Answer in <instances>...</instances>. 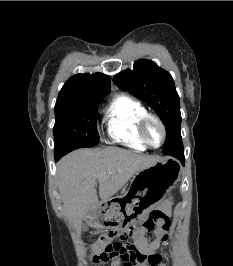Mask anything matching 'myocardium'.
<instances>
[{
    "label": "myocardium",
    "instance_id": "f54148a6",
    "mask_svg": "<svg viewBox=\"0 0 233 266\" xmlns=\"http://www.w3.org/2000/svg\"><path fill=\"white\" fill-rule=\"evenodd\" d=\"M150 121H155L160 126V128L162 130V140H161V143L157 146L151 144L147 138V135H146V128H147V125ZM138 134H139L140 139L143 141V143L147 147L154 148V149L161 147L165 143L166 137H167V131H166L165 124L160 119V117H158L157 115L152 114V113H146L141 118V120L138 124Z\"/></svg>",
    "mask_w": 233,
    "mask_h": 266
}]
</instances>
